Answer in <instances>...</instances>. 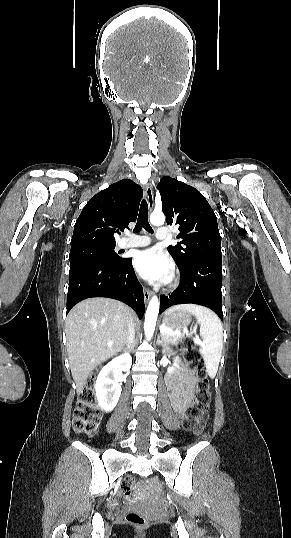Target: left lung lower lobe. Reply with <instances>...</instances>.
Here are the masks:
<instances>
[{
  "label": "left lung lower lobe",
  "mask_w": 291,
  "mask_h": 538,
  "mask_svg": "<svg viewBox=\"0 0 291 538\" xmlns=\"http://www.w3.org/2000/svg\"><path fill=\"white\" fill-rule=\"evenodd\" d=\"M179 270L181 284L169 296H161L159 313L173 305L192 303L210 308L223 320L222 257L195 258Z\"/></svg>",
  "instance_id": "left-lung-lower-lobe-1"
}]
</instances>
